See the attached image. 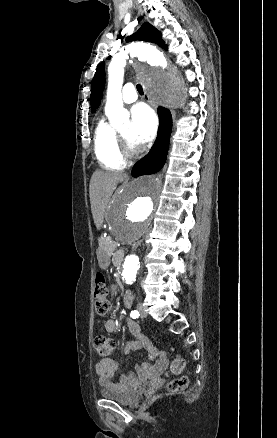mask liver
Here are the masks:
<instances>
[{
	"mask_svg": "<svg viewBox=\"0 0 277 438\" xmlns=\"http://www.w3.org/2000/svg\"><path fill=\"white\" fill-rule=\"evenodd\" d=\"M125 178L127 174L122 172H100V170L94 172L90 182V204L97 230L102 228L104 212L116 184L124 182Z\"/></svg>",
	"mask_w": 277,
	"mask_h": 438,
	"instance_id": "liver-1",
	"label": "liver"
}]
</instances>
